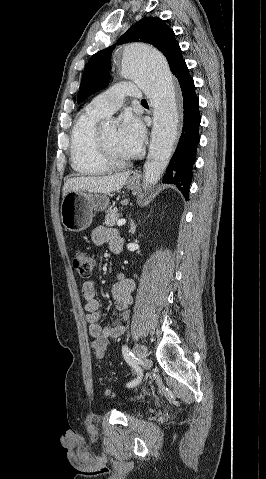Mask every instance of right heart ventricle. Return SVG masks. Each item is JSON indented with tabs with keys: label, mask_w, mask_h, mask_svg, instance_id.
Masks as SVG:
<instances>
[{
	"label": "right heart ventricle",
	"mask_w": 266,
	"mask_h": 479,
	"mask_svg": "<svg viewBox=\"0 0 266 479\" xmlns=\"http://www.w3.org/2000/svg\"><path fill=\"white\" fill-rule=\"evenodd\" d=\"M104 116L88 108L77 119L71 132L70 152L73 169L80 175L98 176L110 169L105 165L97 148V123Z\"/></svg>",
	"instance_id": "right-heart-ventricle-1"
}]
</instances>
